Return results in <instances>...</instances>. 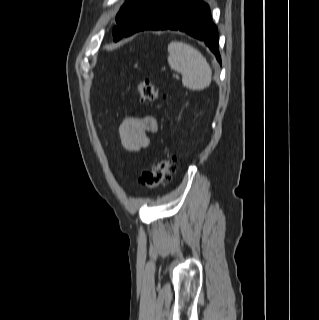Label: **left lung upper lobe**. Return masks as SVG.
I'll return each mask as SVG.
<instances>
[{
  "label": "left lung upper lobe",
  "instance_id": "1",
  "mask_svg": "<svg viewBox=\"0 0 319 320\" xmlns=\"http://www.w3.org/2000/svg\"><path fill=\"white\" fill-rule=\"evenodd\" d=\"M158 0H127L116 17L117 26L113 28L114 41L126 35L135 21Z\"/></svg>",
  "mask_w": 319,
  "mask_h": 320
}]
</instances>
